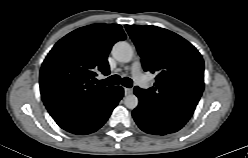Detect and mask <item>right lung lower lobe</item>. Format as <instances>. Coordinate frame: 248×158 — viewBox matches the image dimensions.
Segmentation results:
<instances>
[{
    "instance_id": "obj_1",
    "label": "right lung lower lobe",
    "mask_w": 248,
    "mask_h": 158,
    "mask_svg": "<svg viewBox=\"0 0 248 158\" xmlns=\"http://www.w3.org/2000/svg\"><path fill=\"white\" fill-rule=\"evenodd\" d=\"M123 94L121 86H113L88 107L53 119L62 129L73 134L95 132L107 121Z\"/></svg>"
}]
</instances>
